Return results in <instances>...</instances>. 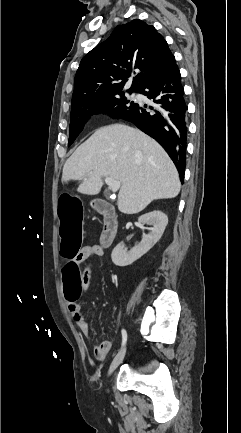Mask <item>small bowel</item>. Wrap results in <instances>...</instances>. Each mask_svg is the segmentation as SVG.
Here are the masks:
<instances>
[{
  "label": "small bowel",
  "mask_w": 241,
  "mask_h": 433,
  "mask_svg": "<svg viewBox=\"0 0 241 433\" xmlns=\"http://www.w3.org/2000/svg\"><path fill=\"white\" fill-rule=\"evenodd\" d=\"M103 254H104V251L99 245H88V246L83 247L79 251L78 257H72V259L69 261V263H76L77 267H79V265L82 262L89 260V259L100 258L103 256ZM91 277H92V268L88 267L86 269L85 277H84L85 287L88 286V284L91 280ZM66 305H67L68 312L70 313L71 317L73 318L76 326L81 330V332L84 335L89 336L90 335V327H89V324H88L86 318L83 316V314L81 312V308H80L79 304L68 305L66 302ZM111 349H112V343L110 341H103L102 343H100L99 345L94 347V351H93L94 357L99 361H103L107 358V355L109 354Z\"/></svg>",
  "instance_id": "obj_1"
}]
</instances>
